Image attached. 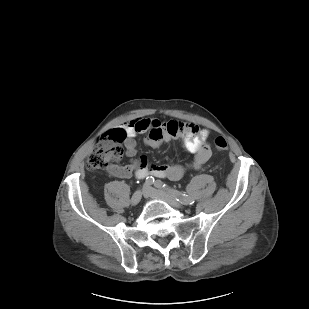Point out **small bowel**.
I'll return each instance as SVG.
<instances>
[{
  "label": "small bowel",
  "instance_id": "c3829d8e",
  "mask_svg": "<svg viewBox=\"0 0 309 309\" xmlns=\"http://www.w3.org/2000/svg\"><path fill=\"white\" fill-rule=\"evenodd\" d=\"M115 131L124 134L126 155L129 164L115 167L112 174L118 178H128L135 175L138 179L146 176L179 180L186 169L199 170L205 166L211 156V149L206 143L209 130L202 129L194 123L184 124L177 120L162 123L157 119L136 118L121 125ZM145 134V143L157 148L162 142L181 139L185 149L194 155L187 166L179 163L151 165L145 156L136 158V137Z\"/></svg>",
  "mask_w": 309,
  "mask_h": 309
}]
</instances>
